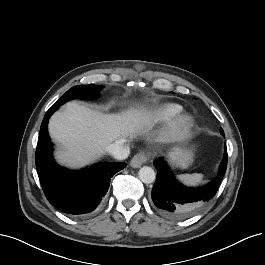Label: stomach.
Returning <instances> with one entry per match:
<instances>
[{"label": "stomach", "instance_id": "stomach-1", "mask_svg": "<svg viewBox=\"0 0 265 265\" xmlns=\"http://www.w3.org/2000/svg\"><path fill=\"white\" fill-rule=\"evenodd\" d=\"M169 158L172 163L177 168L187 169L191 166L194 159L193 149H185L175 147L169 153Z\"/></svg>", "mask_w": 265, "mask_h": 265}]
</instances>
